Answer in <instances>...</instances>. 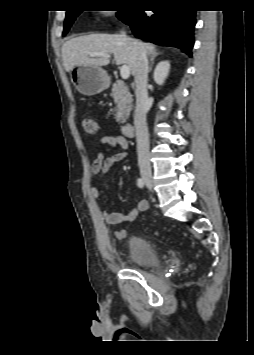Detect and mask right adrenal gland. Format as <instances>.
<instances>
[{"instance_id": "2a0ac1e0", "label": "right adrenal gland", "mask_w": 254, "mask_h": 355, "mask_svg": "<svg viewBox=\"0 0 254 355\" xmlns=\"http://www.w3.org/2000/svg\"><path fill=\"white\" fill-rule=\"evenodd\" d=\"M161 53L160 52H157V51H154L152 54H151V58H150V66H149V70H148V73H150L152 71V66L154 64V59L155 57H157L158 55H160Z\"/></svg>"}]
</instances>
